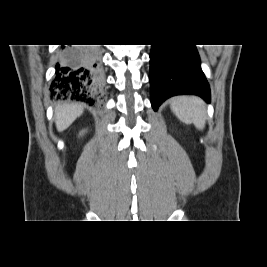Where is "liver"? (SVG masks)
Here are the masks:
<instances>
[{
	"label": "liver",
	"instance_id": "liver-1",
	"mask_svg": "<svg viewBox=\"0 0 267 267\" xmlns=\"http://www.w3.org/2000/svg\"><path fill=\"white\" fill-rule=\"evenodd\" d=\"M83 113L79 104L58 105L55 108V123L59 132L66 130Z\"/></svg>",
	"mask_w": 267,
	"mask_h": 267
}]
</instances>
